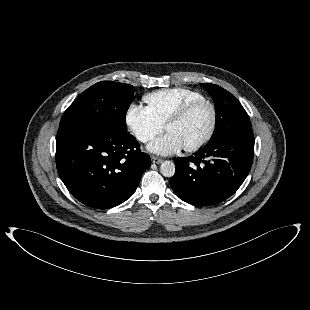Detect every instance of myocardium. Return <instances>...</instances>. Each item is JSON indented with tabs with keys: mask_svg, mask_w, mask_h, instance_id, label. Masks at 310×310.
Masks as SVG:
<instances>
[{
	"mask_svg": "<svg viewBox=\"0 0 310 310\" xmlns=\"http://www.w3.org/2000/svg\"><path fill=\"white\" fill-rule=\"evenodd\" d=\"M203 104L207 105L210 108V112H211V119H210L208 130L203 136V138L200 141H198L196 144L184 147V150L186 152H196V151L201 150L204 146H206V144L212 138L215 132V129H216V124H217V109H216L215 104L211 100L206 99V98H201V99L191 101L187 103L186 105H184L164 125L165 130H167L168 127L183 121L194 109H196L197 107Z\"/></svg>",
	"mask_w": 310,
	"mask_h": 310,
	"instance_id": "f54148a6",
	"label": "myocardium"
}]
</instances>
